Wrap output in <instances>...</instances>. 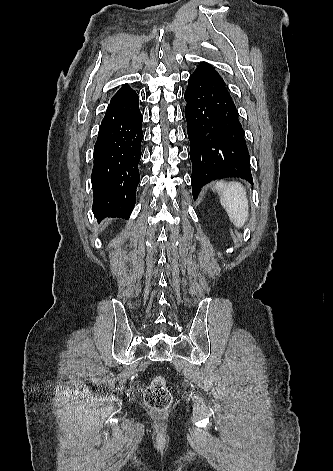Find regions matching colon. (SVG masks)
I'll list each match as a JSON object with an SVG mask.
<instances>
[{
  "instance_id": "colon-1",
  "label": "colon",
  "mask_w": 333,
  "mask_h": 471,
  "mask_svg": "<svg viewBox=\"0 0 333 471\" xmlns=\"http://www.w3.org/2000/svg\"><path fill=\"white\" fill-rule=\"evenodd\" d=\"M144 402L149 408L155 411H165L170 407L172 395L162 376L155 377L146 388Z\"/></svg>"
}]
</instances>
